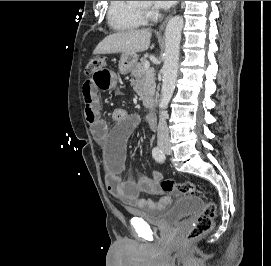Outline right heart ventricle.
I'll list each match as a JSON object with an SVG mask.
<instances>
[{
    "label": "right heart ventricle",
    "mask_w": 271,
    "mask_h": 266,
    "mask_svg": "<svg viewBox=\"0 0 271 266\" xmlns=\"http://www.w3.org/2000/svg\"><path fill=\"white\" fill-rule=\"evenodd\" d=\"M109 25L118 31H129L145 23L143 11L130 1H110L108 8Z\"/></svg>",
    "instance_id": "e07e8e85"
}]
</instances>
